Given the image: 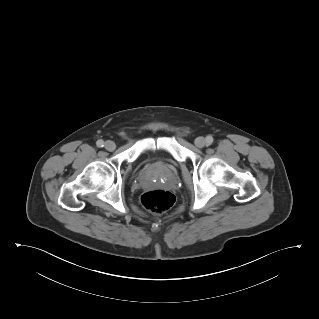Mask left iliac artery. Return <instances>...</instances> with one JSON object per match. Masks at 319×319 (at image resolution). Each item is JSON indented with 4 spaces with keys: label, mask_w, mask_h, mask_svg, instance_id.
<instances>
[{
    "label": "left iliac artery",
    "mask_w": 319,
    "mask_h": 319,
    "mask_svg": "<svg viewBox=\"0 0 319 319\" xmlns=\"http://www.w3.org/2000/svg\"><path fill=\"white\" fill-rule=\"evenodd\" d=\"M206 142H207V144H212V142H213V137L212 136H207L206 137Z\"/></svg>",
    "instance_id": "44dca946"
}]
</instances>
